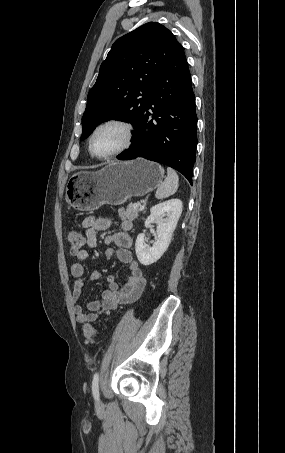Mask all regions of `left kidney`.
I'll list each match as a JSON object with an SVG mask.
<instances>
[{
  "label": "left kidney",
  "instance_id": "obj_1",
  "mask_svg": "<svg viewBox=\"0 0 285 453\" xmlns=\"http://www.w3.org/2000/svg\"><path fill=\"white\" fill-rule=\"evenodd\" d=\"M181 213L182 201L179 199L167 200L150 209L145 227L148 228L153 222L157 223L155 241L151 247L146 245L145 234L141 233L137 236L135 242L136 255L142 265H151L161 258L171 242L172 234ZM164 215H166V218L162 219Z\"/></svg>",
  "mask_w": 285,
  "mask_h": 453
}]
</instances>
